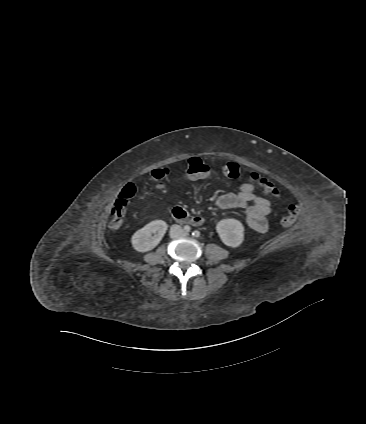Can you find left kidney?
Listing matches in <instances>:
<instances>
[{
  "instance_id": "5707ae66",
  "label": "left kidney",
  "mask_w": 366,
  "mask_h": 424,
  "mask_svg": "<svg viewBox=\"0 0 366 424\" xmlns=\"http://www.w3.org/2000/svg\"><path fill=\"white\" fill-rule=\"evenodd\" d=\"M216 231L221 241L229 247L236 248L244 240V227L236 219H223L219 221L216 225Z\"/></svg>"
}]
</instances>
